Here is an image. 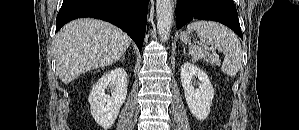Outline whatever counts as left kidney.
I'll return each instance as SVG.
<instances>
[{"instance_id":"5707ae66","label":"left kidney","mask_w":299,"mask_h":130,"mask_svg":"<svg viewBox=\"0 0 299 130\" xmlns=\"http://www.w3.org/2000/svg\"><path fill=\"white\" fill-rule=\"evenodd\" d=\"M197 77L199 87L194 88L192 79ZM181 83L190 112L199 120H204L210 113L214 89L207 74L190 62L181 66Z\"/></svg>"}]
</instances>
